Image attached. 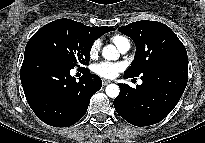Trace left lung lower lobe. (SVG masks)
I'll list each match as a JSON object with an SVG mask.
<instances>
[{"instance_id": "obj_1", "label": "left lung lower lobe", "mask_w": 205, "mask_h": 143, "mask_svg": "<svg viewBox=\"0 0 205 143\" xmlns=\"http://www.w3.org/2000/svg\"><path fill=\"white\" fill-rule=\"evenodd\" d=\"M141 79L143 83L136 89L118 84L120 94L113 102L123 119L140 127L160 122L177 105L188 81V59L155 64Z\"/></svg>"}]
</instances>
